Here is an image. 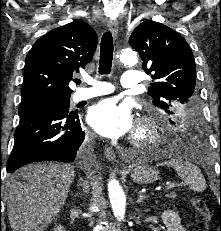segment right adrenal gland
<instances>
[{
  "label": "right adrenal gland",
  "mask_w": 221,
  "mask_h": 231,
  "mask_svg": "<svg viewBox=\"0 0 221 231\" xmlns=\"http://www.w3.org/2000/svg\"><path fill=\"white\" fill-rule=\"evenodd\" d=\"M78 185L83 187V190H82L81 193L80 192L76 193L75 197H82L83 195H85V193L88 192V184H87L86 181H84L82 178H80L79 181H78Z\"/></svg>",
  "instance_id": "1"
}]
</instances>
